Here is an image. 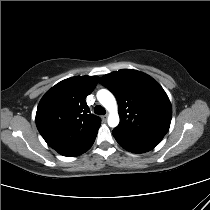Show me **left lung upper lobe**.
I'll use <instances>...</instances> for the list:
<instances>
[{"label": "left lung upper lobe", "instance_id": "1", "mask_svg": "<svg viewBox=\"0 0 210 210\" xmlns=\"http://www.w3.org/2000/svg\"><path fill=\"white\" fill-rule=\"evenodd\" d=\"M99 83L116 97L120 123L113 130L117 141L153 149L168 132L172 107L163 88L149 75L123 69L103 76Z\"/></svg>", "mask_w": 210, "mask_h": 210}]
</instances>
